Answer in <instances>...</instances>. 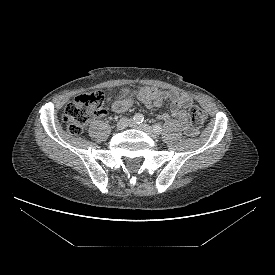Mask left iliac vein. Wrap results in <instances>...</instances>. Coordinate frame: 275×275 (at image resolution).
Here are the masks:
<instances>
[{"instance_id": "4c4485c4", "label": "left iliac vein", "mask_w": 275, "mask_h": 275, "mask_svg": "<svg viewBox=\"0 0 275 275\" xmlns=\"http://www.w3.org/2000/svg\"><path fill=\"white\" fill-rule=\"evenodd\" d=\"M130 126L139 130L144 131L145 133H147L151 138L153 139H157V134L156 132L152 129L151 126L143 123V124H137L134 122L130 123Z\"/></svg>"}]
</instances>
